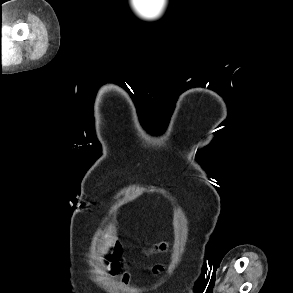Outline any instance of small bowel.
I'll return each instance as SVG.
<instances>
[{"label": "small bowel", "mask_w": 293, "mask_h": 293, "mask_svg": "<svg viewBox=\"0 0 293 293\" xmlns=\"http://www.w3.org/2000/svg\"><path fill=\"white\" fill-rule=\"evenodd\" d=\"M172 247L169 242H159L154 244L153 246L144 249L146 253L154 254L157 252H167ZM121 247L117 244H112L108 249L106 255L101 258L102 267L111 272V273H119L124 270V263L121 256ZM153 274L155 276L160 275L163 272V266L157 264L153 267ZM129 279V273L127 271H123L122 280L127 282Z\"/></svg>", "instance_id": "c3829d8e"}]
</instances>
